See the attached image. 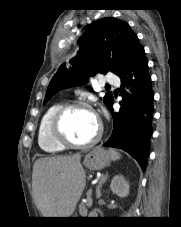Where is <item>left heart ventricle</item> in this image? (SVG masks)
I'll return each mask as SVG.
<instances>
[{"instance_id": "1", "label": "left heart ventricle", "mask_w": 181, "mask_h": 227, "mask_svg": "<svg viewBox=\"0 0 181 227\" xmlns=\"http://www.w3.org/2000/svg\"><path fill=\"white\" fill-rule=\"evenodd\" d=\"M63 131L74 142H86L98 131V121L93 113L85 109H74L63 119Z\"/></svg>"}]
</instances>
